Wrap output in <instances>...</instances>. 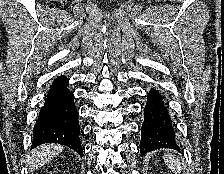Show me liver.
<instances>
[{
  "label": "liver",
  "mask_w": 224,
  "mask_h": 174,
  "mask_svg": "<svg viewBox=\"0 0 224 174\" xmlns=\"http://www.w3.org/2000/svg\"><path fill=\"white\" fill-rule=\"evenodd\" d=\"M63 150V146L58 144L40 145L32 151L28 165L32 169H37L46 164L52 157L58 155Z\"/></svg>",
  "instance_id": "1"
}]
</instances>
